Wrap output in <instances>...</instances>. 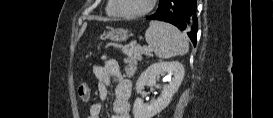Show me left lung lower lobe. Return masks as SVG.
I'll return each mask as SVG.
<instances>
[{"instance_id": "left-lung-lower-lobe-1", "label": "left lung lower lobe", "mask_w": 273, "mask_h": 118, "mask_svg": "<svg viewBox=\"0 0 273 118\" xmlns=\"http://www.w3.org/2000/svg\"><path fill=\"white\" fill-rule=\"evenodd\" d=\"M196 0H160L157 11L147 16L150 20H162L184 30L196 45L198 21Z\"/></svg>"}]
</instances>
